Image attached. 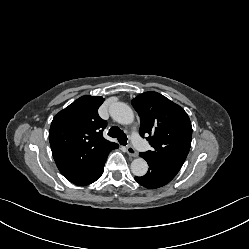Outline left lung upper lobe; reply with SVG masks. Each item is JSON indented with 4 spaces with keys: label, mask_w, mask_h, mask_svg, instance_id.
Masks as SVG:
<instances>
[{
    "label": "left lung upper lobe",
    "mask_w": 249,
    "mask_h": 249,
    "mask_svg": "<svg viewBox=\"0 0 249 249\" xmlns=\"http://www.w3.org/2000/svg\"><path fill=\"white\" fill-rule=\"evenodd\" d=\"M132 105L140 116L139 133L153 148L140 156L161 170L177 174L191 146L192 126L187 113L152 91L138 95Z\"/></svg>",
    "instance_id": "5c2ea615"
}]
</instances>
